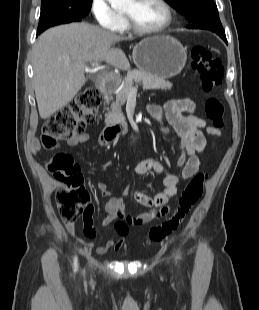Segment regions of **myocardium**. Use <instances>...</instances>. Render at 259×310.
Here are the masks:
<instances>
[{"label": "myocardium", "mask_w": 259, "mask_h": 310, "mask_svg": "<svg viewBox=\"0 0 259 310\" xmlns=\"http://www.w3.org/2000/svg\"><path fill=\"white\" fill-rule=\"evenodd\" d=\"M157 1L163 6L166 13V18L164 22L160 26L155 28H143L137 25L130 15L124 13L126 23L132 31L142 35H154L164 32L172 25L174 21V12L171 5L167 0H157Z\"/></svg>", "instance_id": "obj_1"}]
</instances>
